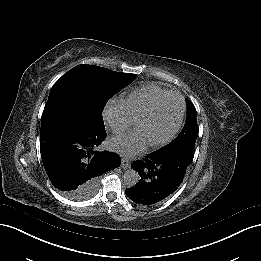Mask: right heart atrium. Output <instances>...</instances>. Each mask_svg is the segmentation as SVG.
Returning a JSON list of instances; mask_svg holds the SVG:
<instances>
[{
    "mask_svg": "<svg viewBox=\"0 0 261 261\" xmlns=\"http://www.w3.org/2000/svg\"><path fill=\"white\" fill-rule=\"evenodd\" d=\"M121 104L115 101H109L102 111V120L112 131L119 133L124 130L125 117Z\"/></svg>",
    "mask_w": 261,
    "mask_h": 261,
    "instance_id": "right-heart-atrium-1",
    "label": "right heart atrium"
}]
</instances>
